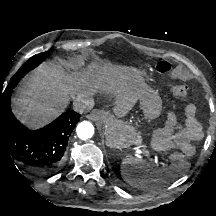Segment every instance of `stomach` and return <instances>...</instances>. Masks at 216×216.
Wrapping results in <instances>:
<instances>
[{
	"label": "stomach",
	"instance_id": "1",
	"mask_svg": "<svg viewBox=\"0 0 216 216\" xmlns=\"http://www.w3.org/2000/svg\"><path fill=\"white\" fill-rule=\"evenodd\" d=\"M140 107L149 121L156 120L161 115L162 100L158 93L147 88L141 92L139 97ZM118 110V109H117ZM106 136V144L110 148L123 149L134 144L137 132L133 127H130L122 122H108L104 128Z\"/></svg>",
	"mask_w": 216,
	"mask_h": 216
}]
</instances>
